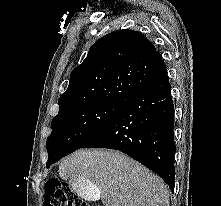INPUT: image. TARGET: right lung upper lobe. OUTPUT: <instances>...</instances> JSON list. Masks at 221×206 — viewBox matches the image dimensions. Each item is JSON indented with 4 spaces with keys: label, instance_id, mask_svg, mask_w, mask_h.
<instances>
[{
    "label": "right lung upper lobe",
    "instance_id": "right-lung-upper-lobe-1",
    "mask_svg": "<svg viewBox=\"0 0 221 206\" xmlns=\"http://www.w3.org/2000/svg\"><path fill=\"white\" fill-rule=\"evenodd\" d=\"M166 74L160 53L142 33L114 31L93 44L71 72L59 113L94 103L124 106Z\"/></svg>",
    "mask_w": 221,
    "mask_h": 206
}]
</instances>
